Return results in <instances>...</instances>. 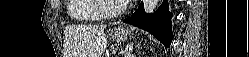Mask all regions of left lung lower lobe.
I'll list each match as a JSON object with an SVG mask.
<instances>
[{"mask_svg":"<svg viewBox=\"0 0 249 57\" xmlns=\"http://www.w3.org/2000/svg\"><path fill=\"white\" fill-rule=\"evenodd\" d=\"M171 17L172 13L168 11L167 0H164L153 14H146L141 3L139 8L123 22L148 31L169 48L172 41Z\"/></svg>","mask_w":249,"mask_h":57,"instance_id":"0a47b994","label":"left lung lower lobe"}]
</instances>
